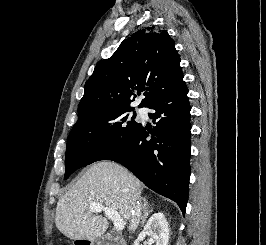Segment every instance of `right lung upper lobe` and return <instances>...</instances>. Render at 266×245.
<instances>
[{
    "label": "right lung upper lobe",
    "mask_w": 266,
    "mask_h": 245,
    "mask_svg": "<svg viewBox=\"0 0 266 245\" xmlns=\"http://www.w3.org/2000/svg\"><path fill=\"white\" fill-rule=\"evenodd\" d=\"M175 42L165 30L146 28L125 39L109 59L100 61L85 83L78 117L112 108H131L136 93L147 90L148 104L183 79ZM78 119V120H79Z\"/></svg>",
    "instance_id": "obj_1"
}]
</instances>
